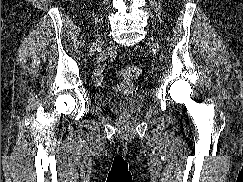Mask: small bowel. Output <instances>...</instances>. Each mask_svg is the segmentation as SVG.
Wrapping results in <instances>:
<instances>
[{
  "mask_svg": "<svg viewBox=\"0 0 243 182\" xmlns=\"http://www.w3.org/2000/svg\"><path fill=\"white\" fill-rule=\"evenodd\" d=\"M114 53H115V51L113 48H108L98 58L97 66L94 70L95 80L98 84H100L103 81L102 72H103V68H104L106 60L113 57ZM128 86H129V84L127 82H124L120 85V87L123 89L128 88Z\"/></svg>",
  "mask_w": 243,
  "mask_h": 182,
  "instance_id": "small-bowel-1",
  "label": "small bowel"
}]
</instances>
